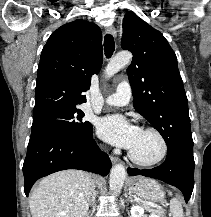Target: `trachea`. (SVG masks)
Wrapping results in <instances>:
<instances>
[{
    "label": "trachea",
    "mask_w": 211,
    "mask_h": 217,
    "mask_svg": "<svg viewBox=\"0 0 211 217\" xmlns=\"http://www.w3.org/2000/svg\"><path fill=\"white\" fill-rule=\"evenodd\" d=\"M114 50H115L114 38L111 34H106L104 37L105 56L107 58H110L113 55Z\"/></svg>",
    "instance_id": "obj_1"
}]
</instances>
